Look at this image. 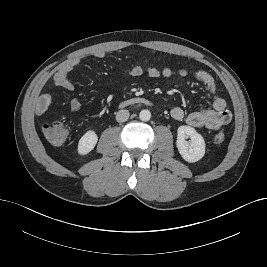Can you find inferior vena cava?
<instances>
[{
	"mask_svg": "<svg viewBox=\"0 0 267 267\" xmlns=\"http://www.w3.org/2000/svg\"><path fill=\"white\" fill-rule=\"evenodd\" d=\"M129 111L128 110H119L116 114V121L117 122H125L129 118Z\"/></svg>",
	"mask_w": 267,
	"mask_h": 267,
	"instance_id": "obj_1",
	"label": "inferior vena cava"
}]
</instances>
